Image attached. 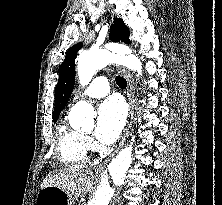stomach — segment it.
<instances>
[{
  "label": "stomach",
  "instance_id": "1",
  "mask_svg": "<svg viewBox=\"0 0 222 205\" xmlns=\"http://www.w3.org/2000/svg\"><path fill=\"white\" fill-rule=\"evenodd\" d=\"M73 199L56 186H45L36 197V205H72Z\"/></svg>",
  "mask_w": 222,
  "mask_h": 205
}]
</instances>
